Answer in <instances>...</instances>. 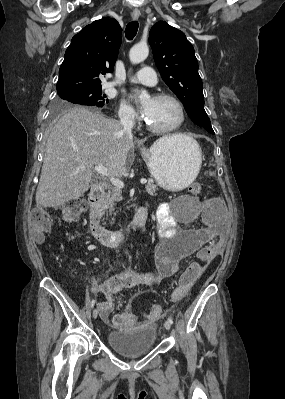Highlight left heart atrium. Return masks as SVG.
Listing matches in <instances>:
<instances>
[{"mask_svg": "<svg viewBox=\"0 0 285 399\" xmlns=\"http://www.w3.org/2000/svg\"><path fill=\"white\" fill-rule=\"evenodd\" d=\"M142 113L144 114V116H147L148 113H149L148 107L144 106V107L142 108Z\"/></svg>", "mask_w": 285, "mask_h": 399, "instance_id": "1", "label": "left heart atrium"}]
</instances>
